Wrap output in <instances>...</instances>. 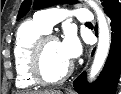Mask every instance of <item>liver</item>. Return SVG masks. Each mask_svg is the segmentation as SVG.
<instances>
[{
	"mask_svg": "<svg viewBox=\"0 0 121 94\" xmlns=\"http://www.w3.org/2000/svg\"><path fill=\"white\" fill-rule=\"evenodd\" d=\"M26 94H62L61 91L51 90V91H40L37 93H26Z\"/></svg>",
	"mask_w": 121,
	"mask_h": 94,
	"instance_id": "liver-1",
	"label": "liver"
}]
</instances>
